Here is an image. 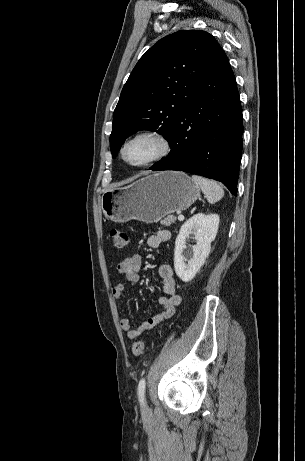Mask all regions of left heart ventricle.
<instances>
[{
  "label": "left heart ventricle",
  "instance_id": "left-heart-ventricle-1",
  "mask_svg": "<svg viewBox=\"0 0 305 461\" xmlns=\"http://www.w3.org/2000/svg\"><path fill=\"white\" fill-rule=\"evenodd\" d=\"M156 150L157 146L153 141L140 139L126 147L125 157L131 163H139L151 157Z\"/></svg>",
  "mask_w": 305,
  "mask_h": 461
}]
</instances>
